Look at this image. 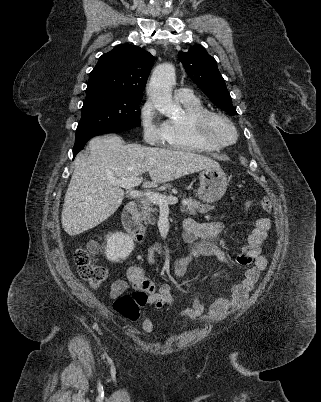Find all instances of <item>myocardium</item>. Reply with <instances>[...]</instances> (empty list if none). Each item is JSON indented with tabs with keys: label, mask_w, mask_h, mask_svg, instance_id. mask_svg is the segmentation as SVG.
<instances>
[{
	"label": "myocardium",
	"mask_w": 321,
	"mask_h": 402,
	"mask_svg": "<svg viewBox=\"0 0 321 402\" xmlns=\"http://www.w3.org/2000/svg\"><path fill=\"white\" fill-rule=\"evenodd\" d=\"M213 119H220L224 121L233 132V139L231 141L225 142L213 137L209 132V125ZM194 129L198 137L206 144L217 148H226L233 145L238 139V131L235 124L221 112L206 110L199 115H197L193 122Z\"/></svg>",
	"instance_id": "1"
}]
</instances>
